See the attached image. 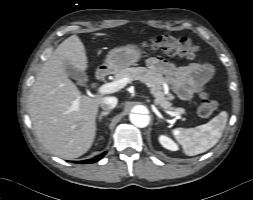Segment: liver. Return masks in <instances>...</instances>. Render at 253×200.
I'll return each mask as SVG.
<instances>
[{"label":"liver","instance_id":"liver-1","mask_svg":"<svg viewBox=\"0 0 253 200\" xmlns=\"http://www.w3.org/2000/svg\"><path fill=\"white\" fill-rule=\"evenodd\" d=\"M65 62L82 72L88 68L86 50L77 35L65 39L42 65L30 89L28 113L40 143L60 158L73 159L94 142L102 98L82 95L68 78Z\"/></svg>","mask_w":253,"mask_h":200}]
</instances>
